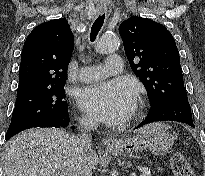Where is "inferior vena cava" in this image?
Listing matches in <instances>:
<instances>
[{
	"label": "inferior vena cava",
	"instance_id": "obj_1",
	"mask_svg": "<svg viewBox=\"0 0 205 176\" xmlns=\"http://www.w3.org/2000/svg\"><path fill=\"white\" fill-rule=\"evenodd\" d=\"M80 126L82 132L80 135L73 137V145L77 153L82 157L92 151V138L90 132L97 128V122L93 119L82 118L80 119ZM81 165H85L87 162L81 159ZM78 176H92V172L89 167L85 166L78 173Z\"/></svg>",
	"mask_w": 205,
	"mask_h": 176
}]
</instances>
